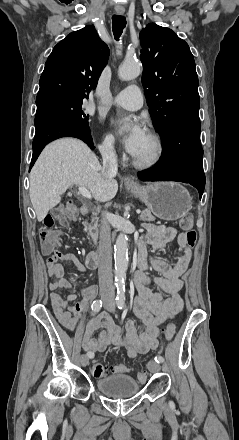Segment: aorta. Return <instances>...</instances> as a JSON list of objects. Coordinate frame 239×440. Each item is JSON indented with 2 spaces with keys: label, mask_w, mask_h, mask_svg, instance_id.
Returning <instances> with one entry per match:
<instances>
[{
  "label": "aorta",
  "mask_w": 239,
  "mask_h": 440,
  "mask_svg": "<svg viewBox=\"0 0 239 440\" xmlns=\"http://www.w3.org/2000/svg\"><path fill=\"white\" fill-rule=\"evenodd\" d=\"M141 72L139 62H132V64H123L118 70V76L123 82L135 80ZM126 234H119L116 244L114 246V260H115V286L118 292L124 288L126 272L128 268V244Z\"/></svg>",
  "instance_id": "762f6f07"
}]
</instances>
